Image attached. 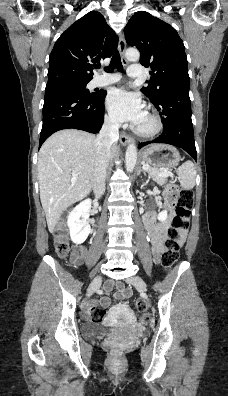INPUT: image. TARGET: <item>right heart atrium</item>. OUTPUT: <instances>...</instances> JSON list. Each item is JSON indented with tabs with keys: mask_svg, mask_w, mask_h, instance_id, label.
I'll return each instance as SVG.
<instances>
[{
	"mask_svg": "<svg viewBox=\"0 0 228 396\" xmlns=\"http://www.w3.org/2000/svg\"><path fill=\"white\" fill-rule=\"evenodd\" d=\"M106 122H107L109 125H111V126H116V125H117V122H116L112 117H110V116H107V117H106Z\"/></svg>",
	"mask_w": 228,
	"mask_h": 396,
	"instance_id": "1",
	"label": "right heart atrium"
}]
</instances>
